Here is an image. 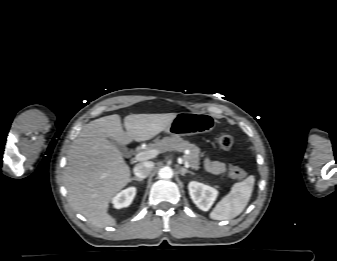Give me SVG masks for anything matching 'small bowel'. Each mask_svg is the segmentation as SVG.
Masks as SVG:
<instances>
[{"mask_svg": "<svg viewBox=\"0 0 337 261\" xmlns=\"http://www.w3.org/2000/svg\"><path fill=\"white\" fill-rule=\"evenodd\" d=\"M205 168L213 174H219L224 172L225 165L222 162L219 161H212L209 158L205 159Z\"/></svg>", "mask_w": 337, "mask_h": 261, "instance_id": "c3829d8e", "label": "small bowel"}]
</instances>
